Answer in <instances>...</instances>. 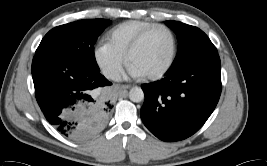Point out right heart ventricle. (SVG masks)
Segmentation results:
<instances>
[{
    "label": "right heart ventricle",
    "mask_w": 267,
    "mask_h": 166,
    "mask_svg": "<svg viewBox=\"0 0 267 166\" xmlns=\"http://www.w3.org/2000/svg\"><path fill=\"white\" fill-rule=\"evenodd\" d=\"M152 26L153 24L140 22L123 24L112 32L110 45L119 52H125L138 36Z\"/></svg>",
    "instance_id": "e07e8e85"
}]
</instances>
